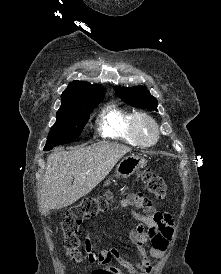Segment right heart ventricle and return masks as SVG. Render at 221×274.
I'll use <instances>...</instances> for the list:
<instances>
[{
    "mask_svg": "<svg viewBox=\"0 0 221 274\" xmlns=\"http://www.w3.org/2000/svg\"><path fill=\"white\" fill-rule=\"evenodd\" d=\"M135 113L116 104L107 105L98 117V130L104 137L140 145L131 130Z\"/></svg>",
    "mask_w": 221,
    "mask_h": 274,
    "instance_id": "e07e8e85",
    "label": "right heart ventricle"
}]
</instances>
